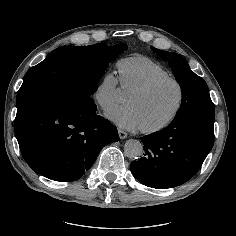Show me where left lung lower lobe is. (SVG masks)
<instances>
[{"mask_svg": "<svg viewBox=\"0 0 236 236\" xmlns=\"http://www.w3.org/2000/svg\"><path fill=\"white\" fill-rule=\"evenodd\" d=\"M214 118L192 116L141 138L144 157L132 162L135 178L151 188L179 186L197 172L214 143Z\"/></svg>", "mask_w": 236, "mask_h": 236, "instance_id": "obj_1", "label": "left lung lower lobe"}]
</instances>
